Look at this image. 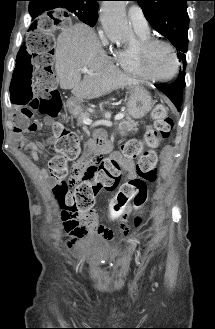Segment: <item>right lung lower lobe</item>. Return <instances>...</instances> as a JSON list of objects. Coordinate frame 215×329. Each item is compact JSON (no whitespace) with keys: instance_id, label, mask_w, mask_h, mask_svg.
Listing matches in <instances>:
<instances>
[{"instance_id":"obj_1","label":"right lung lower lobe","mask_w":215,"mask_h":329,"mask_svg":"<svg viewBox=\"0 0 215 329\" xmlns=\"http://www.w3.org/2000/svg\"><path fill=\"white\" fill-rule=\"evenodd\" d=\"M40 9V5H38L36 2H31L29 4V12L32 16V18L34 19L36 16H38V14L40 13V11H38Z\"/></svg>"}]
</instances>
